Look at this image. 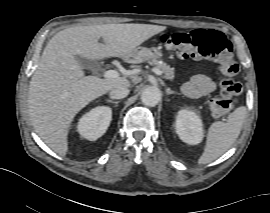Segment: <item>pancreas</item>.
<instances>
[{"mask_svg": "<svg viewBox=\"0 0 270 213\" xmlns=\"http://www.w3.org/2000/svg\"><path fill=\"white\" fill-rule=\"evenodd\" d=\"M149 64L154 66L155 68L161 70L165 74V78L168 80H173L175 77V70L167 65L165 62L157 59H153L149 61Z\"/></svg>", "mask_w": 270, "mask_h": 213, "instance_id": "1", "label": "pancreas"}]
</instances>
